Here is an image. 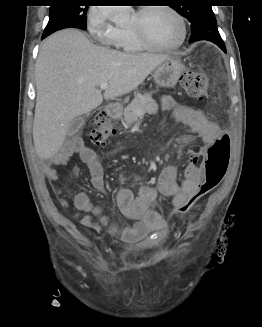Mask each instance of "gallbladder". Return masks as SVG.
<instances>
[{
	"mask_svg": "<svg viewBox=\"0 0 262 327\" xmlns=\"http://www.w3.org/2000/svg\"><path fill=\"white\" fill-rule=\"evenodd\" d=\"M84 125V118L83 117H77L73 119L67 129V135L68 136H73L76 134L80 128Z\"/></svg>",
	"mask_w": 262,
	"mask_h": 327,
	"instance_id": "1",
	"label": "gallbladder"
}]
</instances>
